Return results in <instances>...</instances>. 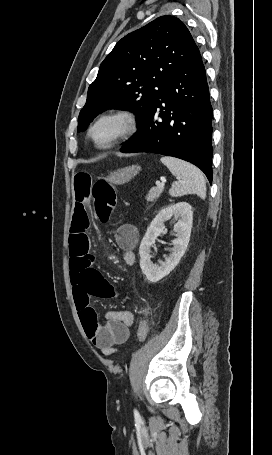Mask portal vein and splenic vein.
Wrapping results in <instances>:
<instances>
[{
	"label": "portal vein and splenic vein",
	"mask_w": 272,
	"mask_h": 455,
	"mask_svg": "<svg viewBox=\"0 0 272 455\" xmlns=\"http://www.w3.org/2000/svg\"><path fill=\"white\" fill-rule=\"evenodd\" d=\"M157 187L163 188L164 187V182L157 183Z\"/></svg>",
	"instance_id": "obj_1"
}]
</instances>
